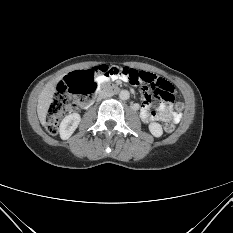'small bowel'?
<instances>
[{
  "label": "small bowel",
  "mask_w": 233,
  "mask_h": 233,
  "mask_svg": "<svg viewBox=\"0 0 233 233\" xmlns=\"http://www.w3.org/2000/svg\"><path fill=\"white\" fill-rule=\"evenodd\" d=\"M149 76L156 77L151 73H147ZM103 80H116L118 82H125V79H119V77L113 76H102ZM100 77L96 78V81H99ZM140 117L144 122H153V121H161L167 123H177L181 119V114L179 112L174 111L170 104L162 103L159 104L156 108L152 109L150 100L148 96L144 97V102L140 107Z\"/></svg>",
  "instance_id": "obj_1"
}]
</instances>
